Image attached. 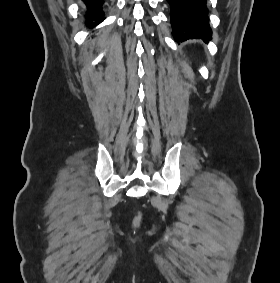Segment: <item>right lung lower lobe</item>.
Here are the masks:
<instances>
[{
    "label": "right lung lower lobe",
    "instance_id": "obj_1",
    "mask_svg": "<svg viewBox=\"0 0 280 283\" xmlns=\"http://www.w3.org/2000/svg\"><path fill=\"white\" fill-rule=\"evenodd\" d=\"M86 4V25L89 28L101 23L105 17H103V0H83Z\"/></svg>",
    "mask_w": 280,
    "mask_h": 283
}]
</instances>
